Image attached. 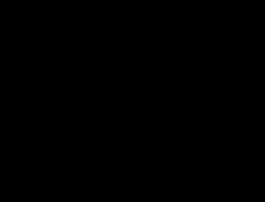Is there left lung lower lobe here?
Here are the masks:
<instances>
[{
	"instance_id": "1",
	"label": "left lung lower lobe",
	"mask_w": 265,
	"mask_h": 202,
	"mask_svg": "<svg viewBox=\"0 0 265 202\" xmlns=\"http://www.w3.org/2000/svg\"><path fill=\"white\" fill-rule=\"evenodd\" d=\"M152 94L158 96L166 107V112L155 118V126L162 135V141L174 153L197 152L202 143L214 139V128L195 131L199 103H186L180 107V91L171 85L158 84L153 87Z\"/></svg>"
}]
</instances>
